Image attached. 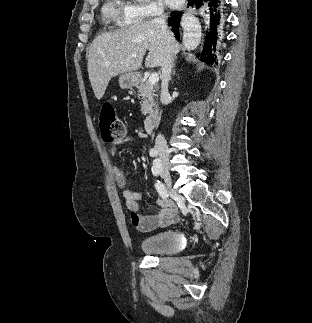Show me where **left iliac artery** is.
<instances>
[{
	"instance_id": "obj_1",
	"label": "left iliac artery",
	"mask_w": 312,
	"mask_h": 323,
	"mask_svg": "<svg viewBox=\"0 0 312 323\" xmlns=\"http://www.w3.org/2000/svg\"><path fill=\"white\" fill-rule=\"evenodd\" d=\"M152 172L155 175L159 173V170L155 167V165H153V167H152Z\"/></svg>"
}]
</instances>
